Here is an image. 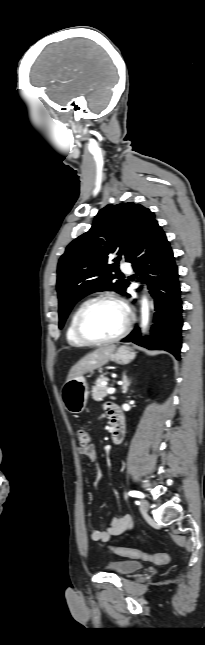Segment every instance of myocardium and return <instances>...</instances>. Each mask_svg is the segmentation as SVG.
<instances>
[{
	"mask_svg": "<svg viewBox=\"0 0 205 645\" xmlns=\"http://www.w3.org/2000/svg\"><path fill=\"white\" fill-rule=\"evenodd\" d=\"M105 302L115 303L122 308L125 316L124 325H123V328L112 337L103 338V339L93 338L89 336L85 331V328H84L85 317L88 311L92 307ZM130 328H131V315L129 310L119 298L111 294L100 295L85 302L79 309L76 316V321H75V332L78 338L87 345H103V344L116 342L122 339L124 336H126Z\"/></svg>",
	"mask_w": 205,
	"mask_h": 645,
	"instance_id": "f54148a6",
	"label": "myocardium"
}]
</instances>
